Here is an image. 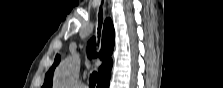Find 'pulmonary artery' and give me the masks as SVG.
<instances>
[{
	"label": "pulmonary artery",
	"instance_id": "e3ab8cb5",
	"mask_svg": "<svg viewBox=\"0 0 223 88\" xmlns=\"http://www.w3.org/2000/svg\"><path fill=\"white\" fill-rule=\"evenodd\" d=\"M82 88H87L86 86H83Z\"/></svg>",
	"mask_w": 223,
	"mask_h": 88
}]
</instances>
